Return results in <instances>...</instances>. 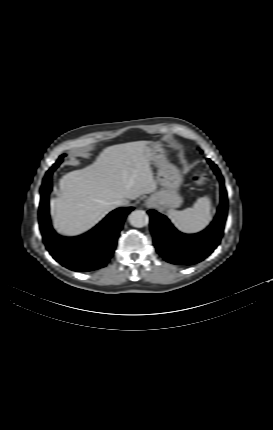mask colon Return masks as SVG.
Listing matches in <instances>:
<instances>
[{
	"mask_svg": "<svg viewBox=\"0 0 273 430\" xmlns=\"http://www.w3.org/2000/svg\"><path fill=\"white\" fill-rule=\"evenodd\" d=\"M195 182L200 186H204L208 182V177L205 174H199L195 177Z\"/></svg>",
	"mask_w": 273,
	"mask_h": 430,
	"instance_id": "1",
	"label": "colon"
}]
</instances>
